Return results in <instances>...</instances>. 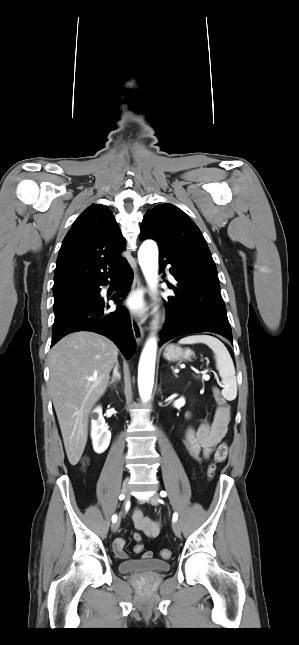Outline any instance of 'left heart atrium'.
<instances>
[{
	"mask_svg": "<svg viewBox=\"0 0 299 645\" xmlns=\"http://www.w3.org/2000/svg\"><path fill=\"white\" fill-rule=\"evenodd\" d=\"M125 305L133 312H142L144 310V302L140 295H132L125 300Z\"/></svg>",
	"mask_w": 299,
	"mask_h": 645,
	"instance_id": "obj_1",
	"label": "left heart atrium"
}]
</instances>
